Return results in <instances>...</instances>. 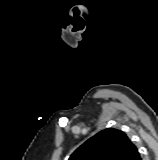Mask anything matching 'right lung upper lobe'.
Wrapping results in <instances>:
<instances>
[{
	"label": "right lung upper lobe",
	"instance_id": "1",
	"mask_svg": "<svg viewBox=\"0 0 158 160\" xmlns=\"http://www.w3.org/2000/svg\"><path fill=\"white\" fill-rule=\"evenodd\" d=\"M137 147L117 129L100 131L72 153L68 160H138Z\"/></svg>",
	"mask_w": 158,
	"mask_h": 160
}]
</instances>
